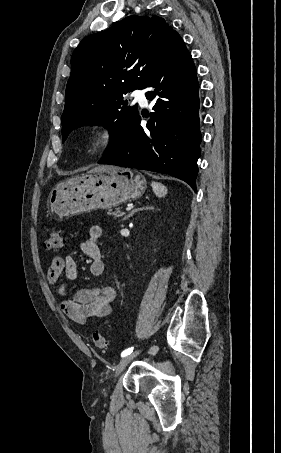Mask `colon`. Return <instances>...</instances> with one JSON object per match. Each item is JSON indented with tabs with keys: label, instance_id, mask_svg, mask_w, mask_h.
<instances>
[{
	"label": "colon",
	"instance_id": "colon-1",
	"mask_svg": "<svg viewBox=\"0 0 281 453\" xmlns=\"http://www.w3.org/2000/svg\"><path fill=\"white\" fill-rule=\"evenodd\" d=\"M62 249V232L61 230H51L49 237L45 242V250L47 252H59ZM109 340L102 334L93 335V346L97 350H105L108 348Z\"/></svg>",
	"mask_w": 281,
	"mask_h": 453
}]
</instances>
